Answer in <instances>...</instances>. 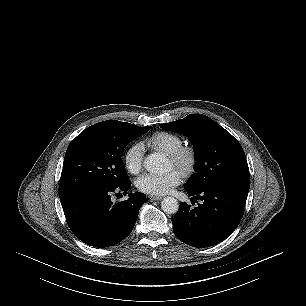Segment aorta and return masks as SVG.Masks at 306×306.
<instances>
[{"mask_svg": "<svg viewBox=\"0 0 306 306\" xmlns=\"http://www.w3.org/2000/svg\"><path fill=\"white\" fill-rule=\"evenodd\" d=\"M165 158L159 154H150L146 157L144 166L152 173H158L165 167ZM179 204L174 197H165L161 201V209L167 214H174L178 211Z\"/></svg>", "mask_w": 306, "mask_h": 306, "instance_id": "1", "label": "aorta"}]
</instances>
